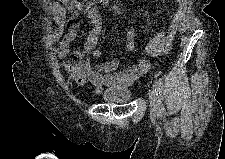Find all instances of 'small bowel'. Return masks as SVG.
Returning a JSON list of instances; mask_svg holds the SVG:
<instances>
[{
    "instance_id": "1",
    "label": "small bowel",
    "mask_w": 225,
    "mask_h": 159,
    "mask_svg": "<svg viewBox=\"0 0 225 159\" xmlns=\"http://www.w3.org/2000/svg\"><path fill=\"white\" fill-rule=\"evenodd\" d=\"M48 10L52 14L55 23V28L48 36V42L50 44L58 43L55 49L56 57L64 59L71 53L79 59L78 63L61 61L60 66L62 70L79 85L92 84L96 92H99L105 86L132 84L137 78L146 74L150 66L149 59L170 52L176 34V25L171 28L169 33L159 31L140 53V59L133 66L118 72L117 70L121 65V60L118 58L96 64L89 58V54L94 58L103 56V52L97 49L102 20L94 3L73 0L68 4L62 5L57 2H51ZM110 10L119 16H124L125 14L124 9L120 5H113ZM68 13H71L73 16L86 15L93 25L88 33L83 49L71 48V43L77 36V23L72 22L67 26ZM180 15L181 9L176 14V20ZM126 49L129 52L137 51L134 31L130 26L126 30Z\"/></svg>"
}]
</instances>
